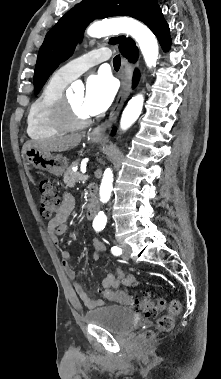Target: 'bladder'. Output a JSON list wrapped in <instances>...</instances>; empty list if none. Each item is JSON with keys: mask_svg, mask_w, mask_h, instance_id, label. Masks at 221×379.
I'll return each instance as SVG.
<instances>
[{"mask_svg": "<svg viewBox=\"0 0 221 379\" xmlns=\"http://www.w3.org/2000/svg\"><path fill=\"white\" fill-rule=\"evenodd\" d=\"M89 324L101 326L118 335H126L139 323L138 316L129 308L118 305H105L85 313Z\"/></svg>", "mask_w": 221, "mask_h": 379, "instance_id": "bladder-1", "label": "bladder"}]
</instances>
